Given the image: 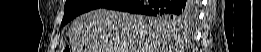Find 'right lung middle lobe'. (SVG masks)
Here are the masks:
<instances>
[{"label":"right lung middle lobe","mask_w":261,"mask_h":52,"mask_svg":"<svg viewBox=\"0 0 261 52\" xmlns=\"http://www.w3.org/2000/svg\"><path fill=\"white\" fill-rule=\"evenodd\" d=\"M111 0H67L64 7V17L61 25L67 24L71 19L76 16L88 12L90 10H94L96 8H102L106 4L110 3ZM193 12L189 14H185L182 16H157L161 18L163 21H167L170 23H180V22H191L194 19V11L195 8L193 6Z\"/></svg>","instance_id":"dd1d6c3e"}]
</instances>
